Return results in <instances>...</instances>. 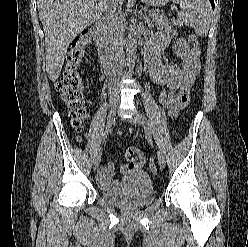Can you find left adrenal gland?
<instances>
[{"mask_svg":"<svg viewBox=\"0 0 248 247\" xmlns=\"http://www.w3.org/2000/svg\"><path fill=\"white\" fill-rule=\"evenodd\" d=\"M145 16H146V14H145ZM144 19H145V21H146L147 23L149 22V19H148V18L145 17Z\"/></svg>","mask_w":248,"mask_h":247,"instance_id":"left-adrenal-gland-1","label":"left adrenal gland"}]
</instances>
